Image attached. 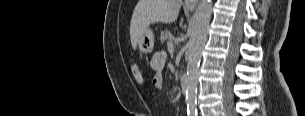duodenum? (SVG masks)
<instances>
[{"label": "duodenum", "mask_w": 305, "mask_h": 116, "mask_svg": "<svg viewBox=\"0 0 305 116\" xmlns=\"http://www.w3.org/2000/svg\"><path fill=\"white\" fill-rule=\"evenodd\" d=\"M180 85H181V88H180L181 94L184 95L186 93L187 87H188L187 77L185 74L181 75Z\"/></svg>", "instance_id": "1"}]
</instances>
